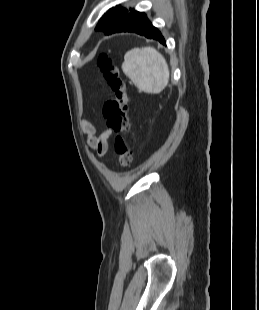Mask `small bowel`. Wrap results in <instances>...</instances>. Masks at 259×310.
I'll use <instances>...</instances> for the list:
<instances>
[{"instance_id": "c3829d8e", "label": "small bowel", "mask_w": 259, "mask_h": 310, "mask_svg": "<svg viewBox=\"0 0 259 310\" xmlns=\"http://www.w3.org/2000/svg\"><path fill=\"white\" fill-rule=\"evenodd\" d=\"M82 131L87 136L88 146L95 151L98 156H104L108 150V139L112 132L109 129L104 130L100 135L95 134L93 125L88 121L80 123Z\"/></svg>"}]
</instances>
